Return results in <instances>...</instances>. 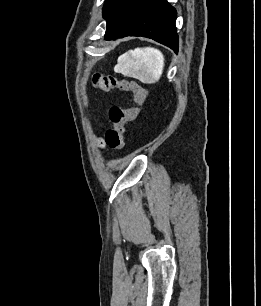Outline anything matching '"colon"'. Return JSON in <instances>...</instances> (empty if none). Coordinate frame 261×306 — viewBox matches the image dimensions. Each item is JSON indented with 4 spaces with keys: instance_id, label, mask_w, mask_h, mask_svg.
<instances>
[{
    "instance_id": "colon-1",
    "label": "colon",
    "mask_w": 261,
    "mask_h": 306,
    "mask_svg": "<svg viewBox=\"0 0 261 306\" xmlns=\"http://www.w3.org/2000/svg\"><path fill=\"white\" fill-rule=\"evenodd\" d=\"M93 84L102 91L118 89L133 94L136 106L128 109L113 106L109 111L112 127L106 132L105 142L111 149L122 150L125 147V125L139 117L147 101L148 92L135 80L122 79L113 75L95 74L93 76Z\"/></svg>"
}]
</instances>
